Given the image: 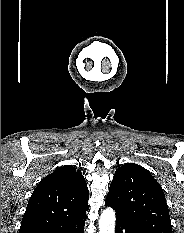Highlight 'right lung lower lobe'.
<instances>
[{
    "label": "right lung lower lobe",
    "mask_w": 184,
    "mask_h": 233,
    "mask_svg": "<svg viewBox=\"0 0 184 233\" xmlns=\"http://www.w3.org/2000/svg\"><path fill=\"white\" fill-rule=\"evenodd\" d=\"M85 219L86 216L67 224L42 229L36 233H84Z\"/></svg>",
    "instance_id": "98d812e1"
}]
</instances>
